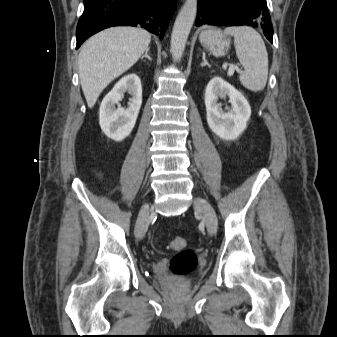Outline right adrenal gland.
Returning a JSON list of instances; mask_svg holds the SVG:
<instances>
[{"mask_svg":"<svg viewBox=\"0 0 337 337\" xmlns=\"http://www.w3.org/2000/svg\"><path fill=\"white\" fill-rule=\"evenodd\" d=\"M148 51H149V48L145 51V54L141 57V59H143L144 57H146L148 60H152V58L148 55Z\"/></svg>","mask_w":337,"mask_h":337,"instance_id":"1","label":"right adrenal gland"}]
</instances>
